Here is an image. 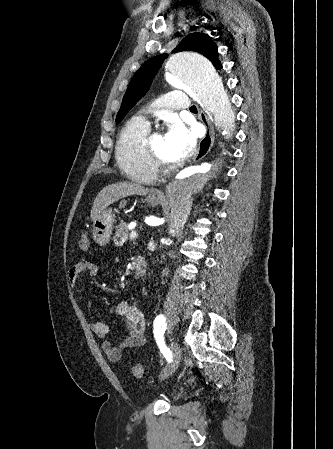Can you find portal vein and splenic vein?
I'll return each instance as SVG.
<instances>
[{
	"label": "portal vein and splenic vein",
	"mask_w": 333,
	"mask_h": 449,
	"mask_svg": "<svg viewBox=\"0 0 333 449\" xmlns=\"http://www.w3.org/2000/svg\"><path fill=\"white\" fill-rule=\"evenodd\" d=\"M129 237L131 239H135V238L138 237V233L136 231H131L130 234H129Z\"/></svg>",
	"instance_id": "1"
}]
</instances>
